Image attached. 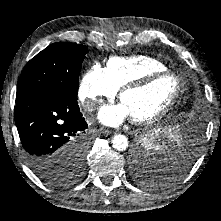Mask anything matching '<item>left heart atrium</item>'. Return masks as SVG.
I'll return each instance as SVG.
<instances>
[{
	"label": "left heart atrium",
	"instance_id": "39dd6f15",
	"mask_svg": "<svg viewBox=\"0 0 221 221\" xmlns=\"http://www.w3.org/2000/svg\"><path fill=\"white\" fill-rule=\"evenodd\" d=\"M98 117L106 125L118 126L130 116L124 105L120 102L117 105L104 106L100 110Z\"/></svg>",
	"mask_w": 221,
	"mask_h": 221
}]
</instances>
